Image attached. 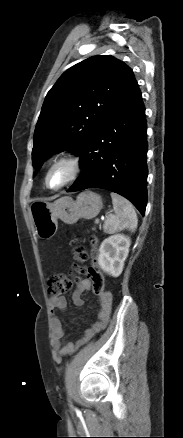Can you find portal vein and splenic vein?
<instances>
[{
    "label": "portal vein and splenic vein",
    "mask_w": 183,
    "mask_h": 438,
    "mask_svg": "<svg viewBox=\"0 0 183 438\" xmlns=\"http://www.w3.org/2000/svg\"><path fill=\"white\" fill-rule=\"evenodd\" d=\"M95 222H96V223H99V219H96Z\"/></svg>",
    "instance_id": "portal-vein-and-splenic-vein-1"
}]
</instances>
